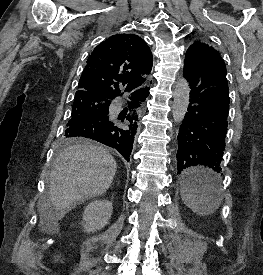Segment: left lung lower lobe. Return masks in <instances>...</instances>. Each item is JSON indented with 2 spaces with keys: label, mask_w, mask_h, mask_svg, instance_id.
I'll use <instances>...</instances> for the list:
<instances>
[{
  "label": "left lung lower lobe",
  "mask_w": 263,
  "mask_h": 275,
  "mask_svg": "<svg viewBox=\"0 0 263 275\" xmlns=\"http://www.w3.org/2000/svg\"><path fill=\"white\" fill-rule=\"evenodd\" d=\"M191 89L188 112L178 134L177 170L194 186L209 189L221 171L225 150L229 88L223 60L209 54L185 57Z\"/></svg>",
  "instance_id": "left-lung-lower-lobe-1"
}]
</instances>
